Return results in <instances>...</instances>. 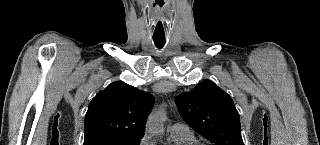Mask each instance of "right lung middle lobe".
Wrapping results in <instances>:
<instances>
[{
  "mask_svg": "<svg viewBox=\"0 0 320 145\" xmlns=\"http://www.w3.org/2000/svg\"><path fill=\"white\" fill-rule=\"evenodd\" d=\"M141 139V137L135 139L102 138L84 143V145H139Z\"/></svg>",
  "mask_w": 320,
  "mask_h": 145,
  "instance_id": "right-lung-middle-lobe-1",
  "label": "right lung middle lobe"
}]
</instances>
